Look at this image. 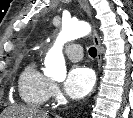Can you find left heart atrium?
<instances>
[{"instance_id": "39dd6f15", "label": "left heart atrium", "mask_w": 133, "mask_h": 118, "mask_svg": "<svg viewBox=\"0 0 133 118\" xmlns=\"http://www.w3.org/2000/svg\"><path fill=\"white\" fill-rule=\"evenodd\" d=\"M95 84L94 72L85 66H74L68 73L64 90L66 94L79 99L91 92Z\"/></svg>"}]
</instances>
